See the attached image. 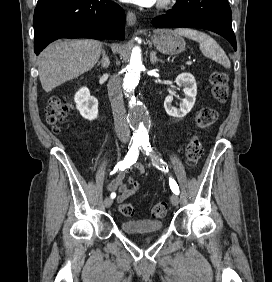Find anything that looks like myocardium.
Instances as JSON below:
<instances>
[{
	"mask_svg": "<svg viewBox=\"0 0 272 282\" xmlns=\"http://www.w3.org/2000/svg\"><path fill=\"white\" fill-rule=\"evenodd\" d=\"M176 3V0H158L157 8L159 10H169L171 9Z\"/></svg>",
	"mask_w": 272,
	"mask_h": 282,
	"instance_id": "1",
	"label": "myocardium"
}]
</instances>
